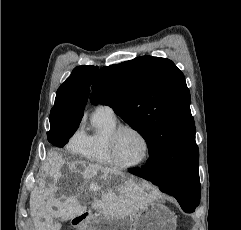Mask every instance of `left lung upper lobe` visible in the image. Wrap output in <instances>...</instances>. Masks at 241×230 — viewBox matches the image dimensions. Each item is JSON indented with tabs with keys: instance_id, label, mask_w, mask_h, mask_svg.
<instances>
[{
	"instance_id": "obj_1",
	"label": "left lung upper lobe",
	"mask_w": 241,
	"mask_h": 230,
	"mask_svg": "<svg viewBox=\"0 0 241 230\" xmlns=\"http://www.w3.org/2000/svg\"><path fill=\"white\" fill-rule=\"evenodd\" d=\"M91 102L110 106L146 140L149 156L169 162L168 188L198 173L199 152L183 73L166 58L142 56L99 70Z\"/></svg>"
}]
</instances>
